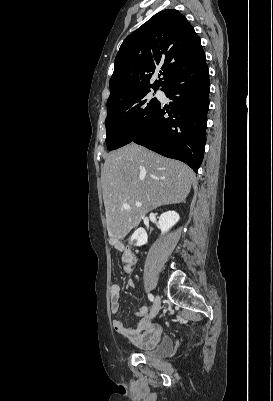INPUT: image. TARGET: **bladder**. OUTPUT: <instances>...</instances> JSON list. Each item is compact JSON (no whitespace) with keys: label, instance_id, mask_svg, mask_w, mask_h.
<instances>
[{"label":"bladder","instance_id":"31cf9c89","mask_svg":"<svg viewBox=\"0 0 273 401\" xmlns=\"http://www.w3.org/2000/svg\"><path fill=\"white\" fill-rule=\"evenodd\" d=\"M174 349V340L170 336H163L158 346L153 351H145L143 354L150 359H160L171 355Z\"/></svg>","mask_w":273,"mask_h":401}]
</instances>
